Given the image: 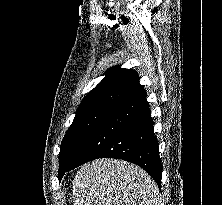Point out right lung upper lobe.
<instances>
[{
	"label": "right lung upper lobe",
	"mask_w": 222,
	"mask_h": 205,
	"mask_svg": "<svg viewBox=\"0 0 222 205\" xmlns=\"http://www.w3.org/2000/svg\"><path fill=\"white\" fill-rule=\"evenodd\" d=\"M142 88L139 76L134 70L115 66L107 71L103 80L84 97L76 115L111 110Z\"/></svg>",
	"instance_id": "1"
}]
</instances>
